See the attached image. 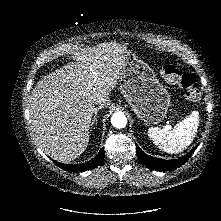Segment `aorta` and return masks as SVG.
I'll use <instances>...</instances> for the list:
<instances>
[{
	"label": "aorta",
	"instance_id": "1",
	"mask_svg": "<svg viewBox=\"0 0 221 221\" xmlns=\"http://www.w3.org/2000/svg\"><path fill=\"white\" fill-rule=\"evenodd\" d=\"M111 123L115 128H124L127 124V118L122 112H116L111 117Z\"/></svg>",
	"mask_w": 221,
	"mask_h": 221
}]
</instances>
